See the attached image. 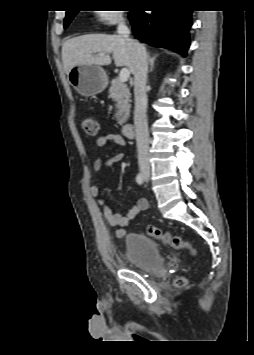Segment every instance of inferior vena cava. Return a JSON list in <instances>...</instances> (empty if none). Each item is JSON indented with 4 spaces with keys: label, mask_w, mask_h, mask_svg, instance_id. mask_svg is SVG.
I'll return each mask as SVG.
<instances>
[{
    "label": "inferior vena cava",
    "mask_w": 254,
    "mask_h": 355,
    "mask_svg": "<svg viewBox=\"0 0 254 355\" xmlns=\"http://www.w3.org/2000/svg\"><path fill=\"white\" fill-rule=\"evenodd\" d=\"M117 33L123 39L128 41L135 54L134 69V94H135V110L134 124L136 131V142L138 151V162L141 169H149V133L146 118L147 111V95L146 83L148 73V61L145 48L139 43L129 38L130 30L125 25L123 19L120 21Z\"/></svg>",
    "instance_id": "inferior-vena-cava-1"
}]
</instances>
